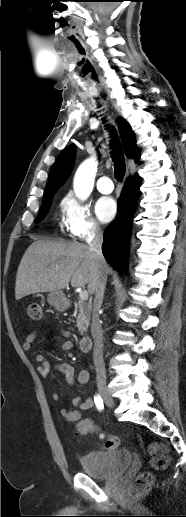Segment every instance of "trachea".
Masks as SVG:
<instances>
[{"label": "trachea", "instance_id": "trachea-1", "mask_svg": "<svg viewBox=\"0 0 186 517\" xmlns=\"http://www.w3.org/2000/svg\"><path fill=\"white\" fill-rule=\"evenodd\" d=\"M112 134L115 136L114 131ZM111 147L113 148L112 158L114 161V176L118 181H122L125 175L126 166L123 151L117 138H113Z\"/></svg>", "mask_w": 186, "mask_h": 517}]
</instances>
